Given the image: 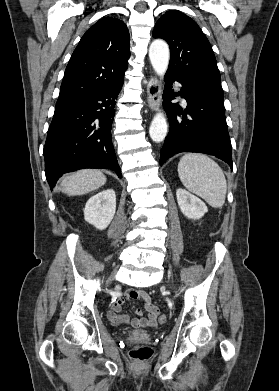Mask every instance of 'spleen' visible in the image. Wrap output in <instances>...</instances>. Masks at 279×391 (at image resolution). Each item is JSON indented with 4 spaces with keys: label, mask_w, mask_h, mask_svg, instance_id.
I'll use <instances>...</instances> for the list:
<instances>
[{
    "label": "spleen",
    "mask_w": 279,
    "mask_h": 391,
    "mask_svg": "<svg viewBox=\"0 0 279 391\" xmlns=\"http://www.w3.org/2000/svg\"><path fill=\"white\" fill-rule=\"evenodd\" d=\"M178 174L183 185L210 206H223L227 192L226 178L220 166L210 157L199 153L185 154L178 164Z\"/></svg>",
    "instance_id": "obj_1"
}]
</instances>
